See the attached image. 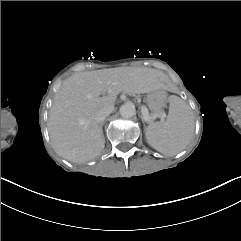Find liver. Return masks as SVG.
Returning a JSON list of instances; mask_svg holds the SVG:
<instances>
[{"instance_id": "6515ba94", "label": "liver", "mask_w": 241, "mask_h": 241, "mask_svg": "<svg viewBox=\"0 0 241 241\" xmlns=\"http://www.w3.org/2000/svg\"><path fill=\"white\" fill-rule=\"evenodd\" d=\"M165 89L163 73L153 69H103L67 78L55 95L48 131L54 151L72 162L98 157L105 147L96 115L113 106L124 92L143 94Z\"/></svg>"}]
</instances>
